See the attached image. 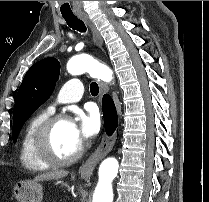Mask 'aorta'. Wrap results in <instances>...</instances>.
<instances>
[{
	"label": "aorta",
	"instance_id": "762f6f07",
	"mask_svg": "<svg viewBox=\"0 0 209 202\" xmlns=\"http://www.w3.org/2000/svg\"><path fill=\"white\" fill-rule=\"evenodd\" d=\"M67 71L71 75H80L89 73L91 76L98 77L109 82L112 79L111 70L101 64H98L89 55H77L72 57L67 63ZM119 163L113 158L105 159L99 167V180L93 194L92 202H112L113 188L112 181L118 174Z\"/></svg>",
	"mask_w": 209,
	"mask_h": 202
}]
</instances>
